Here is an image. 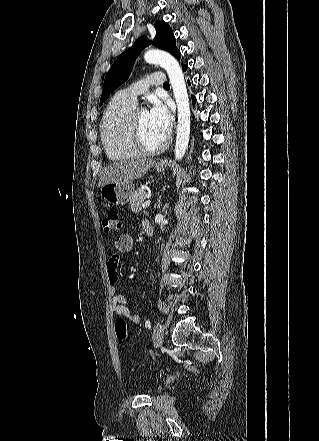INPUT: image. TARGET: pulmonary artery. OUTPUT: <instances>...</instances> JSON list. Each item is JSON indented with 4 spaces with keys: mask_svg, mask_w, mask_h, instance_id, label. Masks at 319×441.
I'll use <instances>...</instances> for the list:
<instances>
[{
    "mask_svg": "<svg viewBox=\"0 0 319 441\" xmlns=\"http://www.w3.org/2000/svg\"><path fill=\"white\" fill-rule=\"evenodd\" d=\"M165 83V76L161 72L152 73L145 79H142L130 87L122 90L119 94L125 99L136 103L139 95L145 93L150 86H163Z\"/></svg>",
    "mask_w": 319,
    "mask_h": 441,
    "instance_id": "pulmonary-artery-1",
    "label": "pulmonary artery"
}]
</instances>
